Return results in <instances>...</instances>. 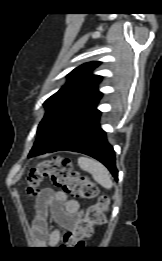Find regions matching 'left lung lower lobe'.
Wrapping results in <instances>:
<instances>
[{"mask_svg": "<svg viewBox=\"0 0 162 261\" xmlns=\"http://www.w3.org/2000/svg\"><path fill=\"white\" fill-rule=\"evenodd\" d=\"M100 115L101 112L80 125L45 153L67 150L89 155L104 164L113 177L118 180L115 152L107 141L105 131L100 127Z\"/></svg>", "mask_w": 162, "mask_h": 261, "instance_id": "left-lung-lower-lobe-1", "label": "left lung lower lobe"}]
</instances>
